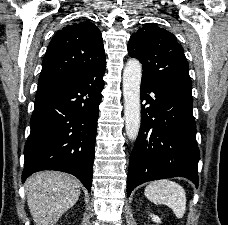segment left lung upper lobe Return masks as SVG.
I'll return each instance as SVG.
<instances>
[{
    "instance_id": "1",
    "label": "left lung upper lobe",
    "mask_w": 228,
    "mask_h": 225,
    "mask_svg": "<svg viewBox=\"0 0 228 225\" xmlns=\"http://www.w3.org/2000/svg\"><path fill=\"white\" fill-rule=\"evenodd\" d=\"M128 52L142 63V79L160 88L192 95L188 63L172 33L146 23L131 35Z\"/></svg>"
}]
</instances>
